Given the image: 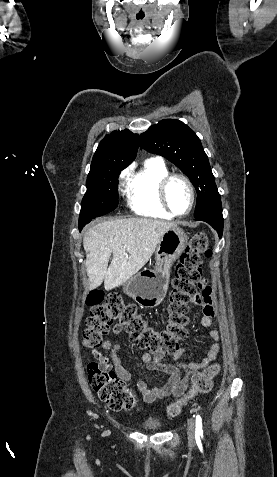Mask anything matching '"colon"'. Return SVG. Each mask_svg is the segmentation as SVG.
Here are the masks:
<instances>
[{"label": "colon", "instance_id": "5ec220e1", "mask_svg": "<svg viewBox=\"0 0 277 477\" xmlns=\"http://www.w3.org/2000/svg\"><path fill=\"white\" fill-rule=\"evenodd\" d=\"M211 255L207 234H194L176 266L167 306L168 323L160 329L150 325L138 313L135 305L124 303L120 296L111 294L105 297L100 290L90 292L86 298L90 313L86 319V328L82 332L83 345L88 348L99 347L112 324L117 321L141 349L152 353L176 352L179 343L188 335L186 326L189 321V304L198 296V290L202 287V257ZM219 371L220 365L213 364L197 372L193 376L191 389L167 406V414L170 417L178 416L183 406L196 395L208 392ZM87 374L90 386L110 409L130 410L137 406L134 394L107 363L90 362L87 365Z\"/></svg>", "mask_w": 277, "mask_h": 477}]
</instances>
